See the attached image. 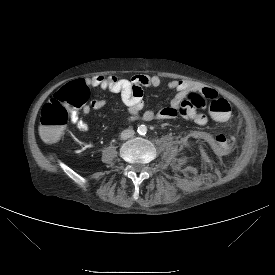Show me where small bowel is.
Returning a JSON list of instances; mask_svg holds the SVG:
<instances>
[{
	"instance_id": "c3829d8e",
	"label": "small bowel",
	"mask_w": 275,
	"mask_h": 275,
	"mask_svg": "<svg viewBox=\"0 0 275 275\" xmlns=\"http://www.w3.org/2000/svg\"><path fill=\"white\" fill-rule=\"evenodd\" d=\"M88 85L108 90L111 93L119 94L123 104L128 108V121H136L142 118L145 121L168 120L178 115H182L198 125H205L208 118L205 114L194 110L185 95L188 91L196 90L203 94L213 89L204 87L197 82L189 80H170L167 87L175 91L174 97L171 99L170 105L162 107L158 110H144L145 104L143 99V88L159 87L163 83V78L159 75L137 74L131 78H123L119 76H102L97 75L86 79ZM109 102L108 98L94 99L84 108V114L90 112L91 109H100ZM73 124L80 131L86 132L89 129L88 123L74 115ZM211 144L215 152L222 156H229L235 148V141L224 131H217L213 134Z\"/></svg>"
}]
</instances>
